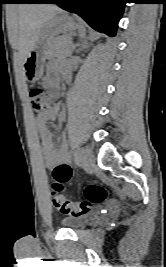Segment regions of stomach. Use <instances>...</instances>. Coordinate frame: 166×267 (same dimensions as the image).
Returning a JSON list of instances; mask_svg holds the SVG:
<instances>
[{
  "label": "stomach",
  "instance_id": "0dacf381",
  "mask_svg": "<svg viewBox=\"0 0 166 267\" xmlns=\"http://www.w3.org/2000/svg\"><path fill=\"white\" fill-rule=\"evenodd\" d=\"M80 27L79 23L64 11L56 13L46 21L41 26L38 38L24 60L23 71L26 80L33 83L42 78L47 53L56 35L66 34Z\"/></svg>",
  "mask_w": 166,
  "mask_h": 267
}]
</instances>
